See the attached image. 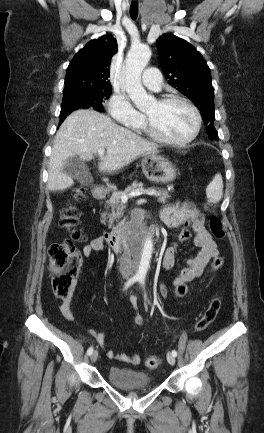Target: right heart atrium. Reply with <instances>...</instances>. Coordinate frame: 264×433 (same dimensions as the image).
Here are the masks:
<instances>
[{
	"label": "right heart atrium",
	"instance_id": "1",
	"mask_svg": "<svg viewBox=\"0 0 264 433\" xmlns=\"http://www.w3.org/2000/svg\"><path fill=\"white\" fill-rule=\"evenodd\" d=\"M109 115L118 123L138 127L143 124L144 117L129 102L128 98L122 93H114L107 105Z\"/></svg>",
	"mask_w": 264,
	"mask_h": 433
}]
</instances>
